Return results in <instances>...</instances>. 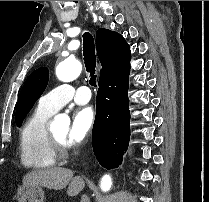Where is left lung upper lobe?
Listing matches in <instances>:
<instances>
[{"label": "left lung upper lobe", "instance_id": "5c2ea615", "mask_svg": "<svg viewBox=\"0 0 209 202\" xmlns=\"http://www.w3.org/2000/svg\"><path fill=\"white\" fill-rule=\"evenodd\" d=\"M49 71L47 68H39L32 72L26 79L20 92L16 107L15 122L20 126L36 100L47 87Z\"/></svg>", "mask_w": 209, "mask_h": 202}]
</instances>
